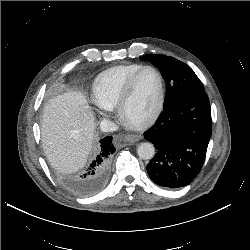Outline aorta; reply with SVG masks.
Instances as JSON below:
<instances>
[{
	"mask_svg": "<svg viewBox=\"0 0 250 250\" xmlns=\"http://www.w3.org/2000/svg\"><path fill=\"white\" fill-rule=\"evenodd\" d=\"M137 154L141 159L150 160L154 157L155 148L149 142L141 143L137 148Z\"/></svg>",
	"mask_w": 250,
	"mask_h": 250,
	"instance_id": "aorta-1",
	"label": "aorta"
}]
</instances>
